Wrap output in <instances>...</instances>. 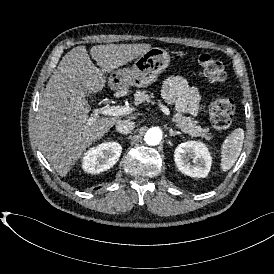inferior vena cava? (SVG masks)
Returning a JSON list of instances; mask_svg holds the SVG:
<instances>
[{"label":"inferior vena cava","instance_id":"inferior-vena-cava-1","mask_svg":"<svg viewBox=\"0 0 274 274\" xmlns=\"http://www.w3.org/2000/svg\"><path fill=\"white\" fill-rule=\"evenodd\" d=\"M135 124L131 120H121L116 124V131L120 134H128L134 130Z\"/></svg>","mask_w":274,"mask_h":274}]
</instances>
